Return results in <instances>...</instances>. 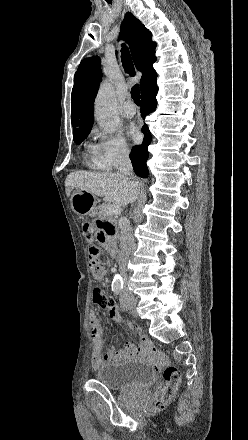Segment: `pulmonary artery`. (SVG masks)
<instances>
[{
  "label": "pulmonary artery",
  "instance_id": "pulmonary-artery-1",
  "mask_svg": "<svg viewBox=\"0 0 248 440\" xmlns=\"http://www.w3.org/2000/svg\"><path fill=\"white\" fill-rule=\"evenodd\" d=\"M122 114L126 118H132L136 114V107L132 101L128 100L124 103Z\"/></svg>",
  "mask_w": 248,
  "mask_h": 440
}]
</instances>
